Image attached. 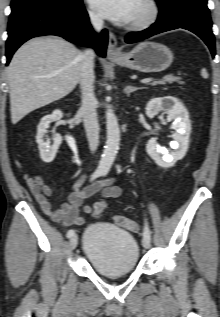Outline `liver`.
<instances>
[{
	"label": "liver",
	"mask_w": 220,
	"mask_h": 317,
	"mask_svg": "<svg viewBox=\"0 0 220 317\" xmlns=\"http://www.w3.org/2000/svg\"><path fill=\"white\" fill-rule=\"evenodd\" d=\"M81 55L59 37H38L23 44L7 68L12 123L68 95L79 82Z\"/></svg>",
	"instance_id": "liver-1"
}]
</instances>
